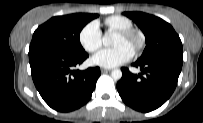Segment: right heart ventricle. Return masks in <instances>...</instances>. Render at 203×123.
Returning <instances> with one entry per match:
<instances>
[{"label": "right heart ventricle", "mask_w": 203, "mask_h": 123, "mask_svg": "<svg viewBox=\"0 0 203 123\" xmlns=\"http://www.w3.org/2000/svg\"><path fill=\"white\" fill-rule=\"evenodd\" d=\"M105 25L109 30L119 31L133 28V23L127 17L121 15H113L105 19Z\"/></svg>", "instance_id": "1"}]
</instances>
